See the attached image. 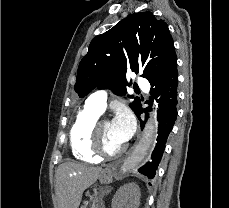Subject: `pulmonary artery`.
Listing matches in <instances>:
<instances>
[{"instance_id": "obj_1", "label": "pulmonary artery", "mask_w": 229, "mask_h": 208, "mask_svg": "<svg viewBox=\"0 0 229 208\" xmlns=\"http://www.w3.org/2000/svg\"><path fill=\"white\" fill-rule=\"evenodd\" d=\"M136 82L139 87H143L145 90L148 89L149 84L146 83V78H137ZM107 91L98 90L93 92L85 101V107L102 114L106 109Z\"/></svg>"}]
</instances>
